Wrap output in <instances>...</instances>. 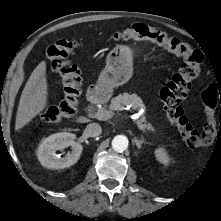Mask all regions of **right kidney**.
Masks as SVG:
<instances>
[{
    "instance_id": "right-kidney-1",
    "label": "right kidney",
    "mask_w": 221,
    "mask_h": 221,
    "mask_svg": "<svg viewBox=\"0 0 221 221\" xmlns=\"http://www.w3.org/2000/svg\"><path fill=\"white\" fill-rule=\"evenodd\" d=\"M75 135L68 132L52 134L45 138L40 144L37 157L41 165L50 169H63L74 165L80 158L83 147L74 141ZM71 146V153L65 157L56 154L57 150H62Z\"/></svg>"
}]
</instances>
